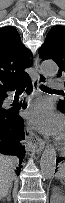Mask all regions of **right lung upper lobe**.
Instances as JSON below:
<instances>
[{"label": "right lung upper lobe", "mask_w": 65, "mask_h": 203, "mask_svg": "<svg viewBox=\"0 0 65 203\" xmlns=\"http://www.w3.org/2000/svg\"><path fill=\"white\" fill-rule=\"evenodd\" d=\"M30 56V51L21 43L20 35L14 27L0 28V92L30 79L23 72L32 66Z\"/></svg>", "instance_id": "cb5924a9"}]
</instances>
